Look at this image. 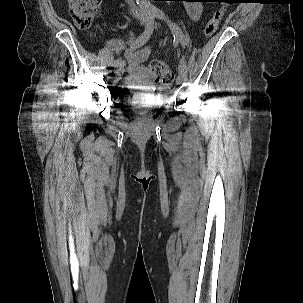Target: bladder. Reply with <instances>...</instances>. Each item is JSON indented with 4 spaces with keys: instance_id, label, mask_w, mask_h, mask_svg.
Wrapping results in <instances>:
<instances>
[{
    "instance_id": "bladder-1",
    "label": "bladder",
    "mask_w": 303,
    "mask_h": 303,
    "mask_svg": "<svg viewBox=\"0 0 303 303\" xmlns=\"http://www.w3.org/2000/svg\"><path fill=\"white\" fill-rule=\"evenodd\" d=\"M150 113H151V111H148V112H147V114H150ZM137 115L139 116L140 114H137Z\"/></svg>"
}]
</instances>
